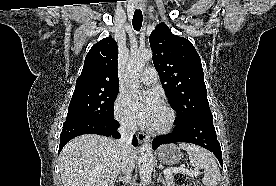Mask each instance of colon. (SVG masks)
Returning a JSON list of instances; mask_svg holds the SVG:
<instances>
[{
	"label": "colon",
	"mask_w": 276,
	"mask_h": 186,
	"mask_svg": "<svg viewBox=\"0 0 276 186\" xmlns=\"http://www.w3.org/2000/svg\"><path fill=\"white\" fill-rule=\"evenodd\" d=\"M176 182L177 186H202L198 180L188 178L183 175H178L176 177Z\"/></svg>",
	"instance_id": "5ec220e1"
}]
</instances>
